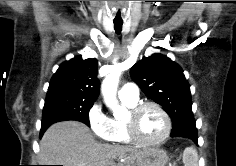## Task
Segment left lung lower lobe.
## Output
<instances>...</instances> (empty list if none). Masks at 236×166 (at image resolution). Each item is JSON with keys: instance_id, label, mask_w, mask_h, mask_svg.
Segmentation results:
<instances>
[{"instance_id": "left-lung-lower-lobe-1", "label": "left lung lower lobe", "mask_w": 236, "mask_h": 166, "mask_svg": "<svg viewBox=\"0 0 236 166\" xmlns=\"http://www.w3.org/2000/svg\"><path fill=\"white\" fill-rule=\"evenodd\" d=\"M171 137L190 138L197 143V129L195 123H176L172 125Z\"/></svg>"}]
</instances>
